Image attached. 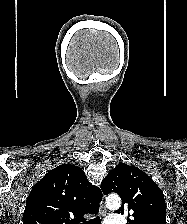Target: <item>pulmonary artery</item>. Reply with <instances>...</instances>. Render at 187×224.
I'll use <instances>...</instances> for the list:
<instances>
[{"label": "pulmonary artery", "instance_id": "obj_1", "mask_svg": "<svg viewBox=\"0 0 187 224\" xmlns=\"http://www.w3.org/2000/svg\"><path fill=\"white\" fill-rule=\"evenodd\" d=\"M104 224H122L120 217H113L106 220Z\"/></svg>", "mask_w": 187, "mask_h": 224}]
</instances>
